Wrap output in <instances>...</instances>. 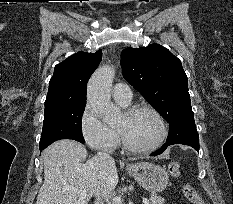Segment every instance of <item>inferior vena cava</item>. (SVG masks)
Segmentation results:
<instances>
[{
    "label": "inferior vena cava",
    "mask_w": 233,
    "mask_h": 204,
    "mask_svg": "<svg viewBox=\"0 0 233 204\" xmlns=\"http://www.w3.org/2000/svg\"><path fill=\"white\" fill-rule=\"evenodd\" d=\"M97 157L103 161H111L112 160L111 156L105 152H98ZM95 204H102V199L99 196L96 197Z\"/></svg>",
    "instance_id": "1"
}]
</instances>
